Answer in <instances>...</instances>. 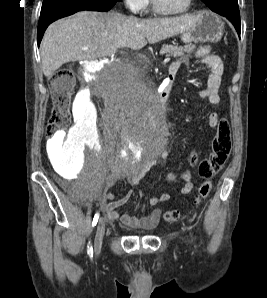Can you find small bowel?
Wrapping results in <instances>:
<instances>
[{
    "instance_id": "obj_1",
    "label": "small bowel",
    "mask_w": 267,
    "mask_h": 298,
    "mask_svg": "<svg viewBox=\"0 0 267 298\" xmlns=\"http://www.w3.org/2000/svg\"><path fill=\"white\" fill-rule=\"evenodd\" d=\"M195 57L200 62L205 64L210 70L209 75L206 79V85L202 90L198 92V96L200 99L206 100L211 105L217 106L221 102L220 87L223 75V62L219 56L212 53L211 50L207 47L200 48L196 52ZM186 62L187 60L184 58L178 59L170 65L169 70H172L176 75L180 67L185 65ZM220 120L221 119L219 118L218 114L214 112L208 114L207 116V123L212 128H217ZM64 139H66L71 145H74L76 140L75 135L72 134L66 135L64 133H58L55 137V141H62ZM142 174V172H135L132 175H128L127 178L130 184L136 187L139 184ZM168 177L170 179L179 177L184 181L183 186L180 188L177 194L186 195L192 191L193 183L189 172H170L168 174ZM132 192L133 191L130 190L128 194L123 198L115 199L114 194L105 189L99 192H92L88 195V197L100 204L103 212L106 214L107 219L111 222L119 220L123 226L132 229H154L160 221L161 209L159 207L154 208L149 215L143 217H136L129 213L120 214L117 211L119 207L127 203L132 195ZM139 193L140 195L144 196V193L142 191L139 190ZM170 198V193H162L157 197L147 198V201L150 206H157L158 204L169 201Z\"/></svg>"
}]
</instances>
